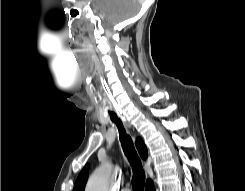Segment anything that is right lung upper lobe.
<instances>
[{
  "mask_svg": "<svg viewBox=\"0 0 245 191\" xmlns=\"http://www.w3.org/2000/svg\"><path fill=\"white\" fill-rule=\"evenodd\" d=\"M136 146L139 151V154L145 160L147 157V148L141 138H137ZM87 177H88V165H86L80 172L76 180L73 191H83L87 182Z\"/></svg>",
  "mask_w": 245,
  "mask_h": 191,
  "instance_id": "1",
  "label": "right lung upper lobe"
}]
</instances>
